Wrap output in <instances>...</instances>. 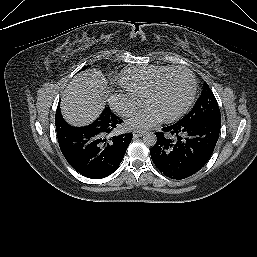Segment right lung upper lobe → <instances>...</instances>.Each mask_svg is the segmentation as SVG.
Masks as SVG:
<instances>
[{"instance_id":"obj_1","label":"right lung upper lobe","mask_w":257,"mask_h":257,"mask_svg":"<svg viewBox=\"0 0 257 257\" xmlns=\"http://www.w3.org/2000/svg\"><path fill=\"white\" fill-rule=\"evenodd\" d=\"M65 124H66V122L62 118V115L60 113V109L58 108L57 112H56V115H55V125L64 126Z\"/></svg>"}]
</instances>
